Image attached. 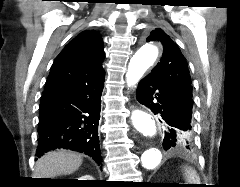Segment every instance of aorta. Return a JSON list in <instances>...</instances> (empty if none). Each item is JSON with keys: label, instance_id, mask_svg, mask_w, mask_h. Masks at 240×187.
I'll list each match as a JSON object with an SVG mask.
<instances>
[{"label": "aorta", "instance_id": "762f6f07", "mask_svg": "<svg viewBox=\"0 0 240 187\" xmlns=\"http://www.w3.org/2000/svg\"><path fill=\"white\" fill-rule=\"evenodd\" d=\"M158 47L146 44L131 58L128 65L126 80L129 85L138 83L143 74L153 65L158 57ZM134 128L145 137L156 135L155 121L151 115L143 111H134L131 116ZM162 160V152L157 147L145 149L141 155V163L145 169L156 168Z\"/></svg>", "mask_w": 240, "mask_h": 187}]
</instances>
